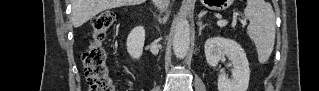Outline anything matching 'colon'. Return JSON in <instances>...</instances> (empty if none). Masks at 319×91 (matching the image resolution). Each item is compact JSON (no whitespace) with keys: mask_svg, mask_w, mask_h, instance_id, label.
<instances>
[{"mask_svg":"<svg viewBox=\"0 0 319 91\" xmlns=\"http://www.w3.org/2000/svg\"><path fill=\"white\" fill-rule=\"evenodd\" d=\"M113 22L112 12H102L92 21V39L83 52L84 70L90 91L116 90L102 44Z\"/></svg>","mask_w":319,"mask_h":91,"instance_id":"colon-1","label":"colon"}]
</instances>
